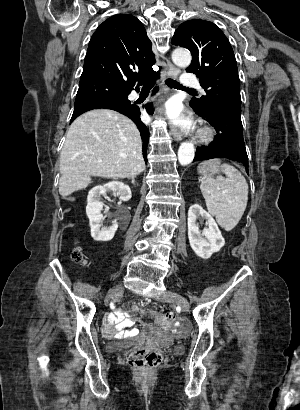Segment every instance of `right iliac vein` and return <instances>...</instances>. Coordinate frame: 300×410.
I'll list each match as a JSON object with an SVG mask.
<instances>
[{"mask_svg": "<svg viewBox=\"0 0 300 410\" xmlns=\"http://www.w3.org/2000/svg\"><path fill=\"white\" fill-rule=\"evenodd\" d=\"M123 290L124 287L122 285H118L109 292L108 296H118L123 292Z\"/></svg>", "mask_w": 300, "mask_h": 410, "instance_id": "obj_1", "label": "right iliac vein"}]
</instances>
